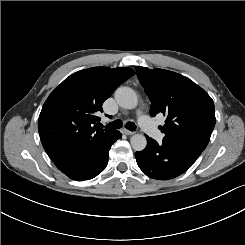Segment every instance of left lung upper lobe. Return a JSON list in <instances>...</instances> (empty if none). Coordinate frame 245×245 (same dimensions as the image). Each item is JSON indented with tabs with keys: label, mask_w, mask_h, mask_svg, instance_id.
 Instances as JSON below:
<instances>
[{
	"label": "left lung upper lobe",
	"mask_w": 245,
	"mask_h": 245,
	"mask_svg": "<svg viewBox=\"0 0 245 245\" xmlns=\"http://www.w3.org/2000/svg\"><path fill=\"white\" fill-rule=\"evenodd\" d=\"M137 76L151 101L150 114L166 115L159 127L164 139L180 143L201 154L215 126L211 97L189 78L162 69L136 67Z\"/></svg>",
	"instance_id": "left-lung-upper-lobe-1"
}]
</instances>
